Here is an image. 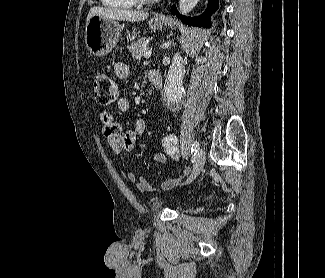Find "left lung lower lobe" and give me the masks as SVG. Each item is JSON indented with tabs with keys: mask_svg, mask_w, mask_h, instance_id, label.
I'll list each match as a JSON object with an SVG mask.
<instances>
[{
	"mask_svg": "<svg viewBox=\"0 0 325 278\" xmlns=\"http://www.w3.org/2000/svg\"><path fill=\"white\" fill-rule=\"evenodd\" d=\"M218 8V0H209L208 7L206 11L200 17H186L180 15L176 9V6L173 5L171 8V13L175 14L178 18H180L183 22L198 26L210 27V15Z\"/></svg>",
	"mask_w": 325,
	"mask_h": 278,
	"instance_id": "obj_1",
	"label": "left lung lower lobe"
}]
</instances>
